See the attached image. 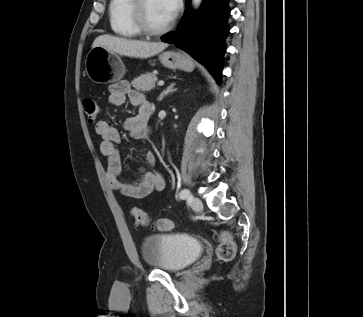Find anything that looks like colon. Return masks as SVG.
I'll list each match as a JSON object with an SVG mask.
<instances>
[{"mask_svg":"<svg viewBox=\"0 0 363 317\" xmlns=\"http://www.w3.org/2000/svg\"><path fill=\"white\" fill-rule=\"evenodd\" d=\"M83 109L88 121L90 123L95 122L99 112L97 103L91 98H86L83 101ZM131 215L137 224L143 226H152L159 231H170L174 227L173 220L169 218H162L156 220L155 222H151L148 214L139 208H132ZM235 253L236 245L232 239L231 234L229 232H222L219 236V244L216 249L217 257L221 261L227 262L234 258Z\"/></svg>","mask_w":363,"mask_h":317,"instance_id":"obj_1","label":"colon"}]
</instances>
